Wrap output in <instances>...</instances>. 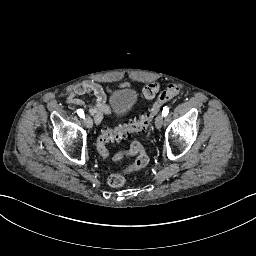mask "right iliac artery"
<instances>
[{
    "label": "right iliac artery",
    "instance_id": "82829eb1",
    "mask_svg": "<svg viewBox=\"0 0 256 256\" xmlns=\"http://www.w3.org/2000/svg\"><path fill=\"white\" fill-rule=\"evenodd\" d=\"M77 114L81 117L84 118V111L82 109L77 110Z\"/></svg>",
    "mask_w": 256,
    "mask_h": 256
}]
</instances>
